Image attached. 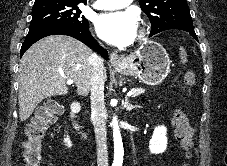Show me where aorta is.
<instances>
[{
  "label": "aorta",
  "instance_id": "aorta-1",
  "mask_svg": "<svg viewBox=\"0 0 227 166\" xmlns=\"http://www.w3.org/2000/svg\"><path fill=\"white\" fill-rule=\"evenodd\" d=\"M113 137H114V163L113 166H121L123 162V143L116 118L113 119Z\"/></svg>",
  "mask_w": 227,
  "mask_h": 166
}]
</instances>
